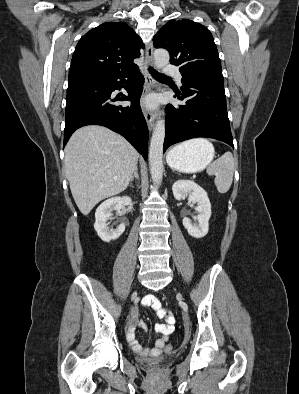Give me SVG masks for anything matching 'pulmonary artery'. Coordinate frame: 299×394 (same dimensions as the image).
<instances>
[{
    "label": "pulmonary artery",
    "instance_id": "obj_1",
    "mask_svg": "<svg viewBox=\"0 0 299 394\" xmlns=\"http://www.w3.org/2000/svg\"><path fill=\"white\" fill-rule=\"evenodd\" d=\"M164 73L167 75L174 76L179 84H181L182 75L176 68L166 67L164 69Z\"/></svg>",
    "mask_w": 299,
    "mask_h": 394
}]
</instances>
